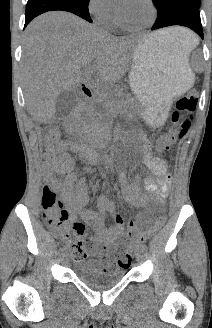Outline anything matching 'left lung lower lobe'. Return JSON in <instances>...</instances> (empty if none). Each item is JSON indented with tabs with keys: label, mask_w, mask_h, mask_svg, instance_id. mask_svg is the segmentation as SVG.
Here are the masks:
<instances>
[{
	"label": "left lung lower lobe",
	"mask_w": 212,
	"mask_h": 328,
	"mask_svg": "<svg viewBox=\"0 0 212 328\" xmlns=\"http://www.w3.org/2000/svg\"><path fill=\"white\" fill-rule=\"evenodd\" d=\"M172 25L188 27L204 37L199 7L189 0H167L161 8L157 7V19L151 30Z\"/></svg>",
	"instance_id": "0a47b994"
}]
</instances>
